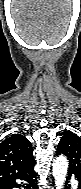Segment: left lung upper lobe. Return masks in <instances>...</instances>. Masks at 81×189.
Returning <instances> with one entry per match:
<instances>
[{
    "mask_svg": "<svg viewBox=\"0 0 81 189\" xmlns=\"http://www.w3.org/2000/svg\"><path fill=\"white\" fill-rule=\"evenodd\" d=\"M56 154L68 157V173L81 180V136L73 132L65 133L58 144Z\"/></svg>",
    "mask_w": 81,
    "mask_h": 189,
    "instance_id": "left-lung-upper-lobe-1",
    "label": "left lung upper lobe"
}]
</instances>
